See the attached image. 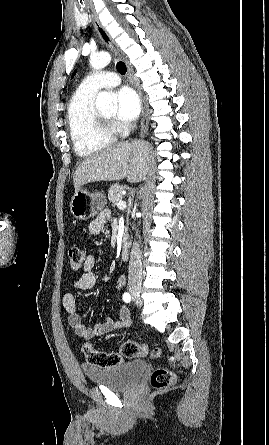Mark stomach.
Returning a JSON list of instances; mask_svg holds the SVG:
<instances>
[{"label":"stomach","mask_w":269,"mask_h":445,"mask_svg":"<svg viewBox=\"0 0 269 445\" xmlns=\"http://www.w3.org/2000/svg\"><path fill=\"white\" fill-rule=\"evenodd\" d=\"M106 205V198L100 193H90L86 189L75 192L71 199L70 210L79 220H88L96 216Z\"/></svg>","instance_id":"stomach-1"}]
</instances>
